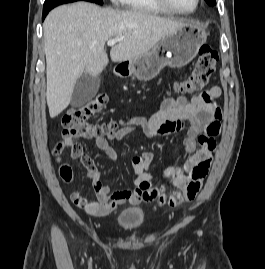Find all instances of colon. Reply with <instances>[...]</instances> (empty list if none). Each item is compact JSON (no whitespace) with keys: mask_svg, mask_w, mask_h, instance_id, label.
Listing matches in <instances>:
<instances>
[{"mask_svg":"<svg viewBox=\"0 0 265 269\" xmlns=\"http://www.w3.org/2000/svg\"><path fill=\"white\" fill-rule=\"evenodd\" d=\"M217 62L218 52L211 45L203 44L199 49L194 69L180 84V91L188 94L207 87L215 72ZM106 103V96L99 95L83 106L69 110L62 119L61 140L55 146L54 151L59 153L65 148H71L76 138L97 137L102 134L118 132L122 126V121L113 120L103 125H97L90 121L93 116L103 110ZM218 132V122H213L208 129V134L216 136ZM60 176L64 181H70L72 177L71 168L66 165L62 166ZM198 191V187L191 185L186 196L180 191L167 193L156 188H150L148 194L152 200H158L161 204L168 203L171 206H176L184 200L193 199Z\"/></svg>","mask_w":265,"mask_h":269,"instance_id":"1","label":"colon"}]
</instances>
